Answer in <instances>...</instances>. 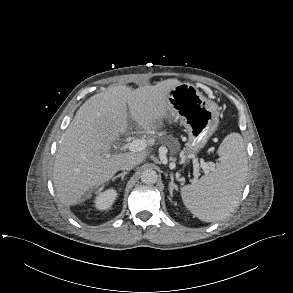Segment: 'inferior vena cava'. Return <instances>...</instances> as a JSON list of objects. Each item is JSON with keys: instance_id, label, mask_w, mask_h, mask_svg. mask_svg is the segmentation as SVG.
<instances>
[{"instance_id": "602c4592", "label": "inferior vena cava", "mask_w": 293, "mask_h": 293, "mask_svg": "<svg viewBox=\"0 0 293 293\" xmlns=\"http://www.w3.org/2000/svg\"><path fill=\"white\" fill-rule=\"evenodd\" d=\"M135 165L136 162L134 160H132L131 158H125L120 164V169L128 171L133 169Z\"/></svg>"}]
</instances>
